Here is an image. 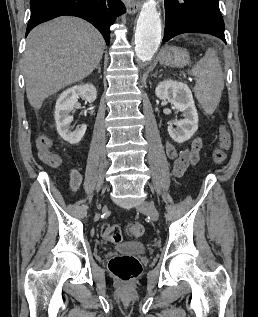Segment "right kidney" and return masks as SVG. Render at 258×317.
I'll use <instances>...</instances> for the list:
<instances>
[{"instance_id":"1","label":"right kidney","mask_w":258,"mask_h":317,"mask_svg":"<svg viewBox=\"0 0 258 317\" xmlns=\"http://www.w3.org/2000/svg\"><path fill=\"white\" fill-rule=\"evenodd\" d=\"M79 96H84L86 100L93 102L97 96V90L93 84H75V86L63 90L55 104L54 116L57 132H59L64 140H68L70 144L80 142L87 128V124H82L80 128L71 130L72 126H70V124L73 120V116H71L70 112L73 110L74 104L77 102Z\"/></svg>"}]
</instances>
